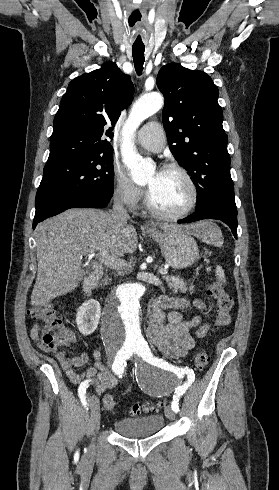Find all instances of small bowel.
<instances>
[{
  "label": "small bowel",
  "instance_id": "small-bowel-1",
  "mask_svg": "<svg viewBox=\"0 0 279 490\" xmlns=\"http://www.w3.org/2000/svg\"><path fill=\"white\" fill-rule=\"evenodd\" d=\"M188 304V301L183 298L168 296H159L152 302L148 313L146 336L156 349L168 358L180 359L194 347V338L190 334L192 328H197V338H203L208 332V325L202 324L199 318L189 321L182 318L179 310L184 309ZM194 305L199 309L205 308L201 301H195ZM40 330L41 326L37 323L30 331V337L36 343L39 342ZM71 341L75 342V338L72 337ZM52 355L60 363L70 381L80 388L95 386L96 392L102 394L118 383V378L102 363L100 349L92 352L94 363L82 373H79L77 368L88 362V354L82 353L77 357L69 358L61 351H54Z\"/></svg>",
  "mask_w": 279,
  "mask_h": 490
}]
</instances>
